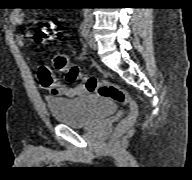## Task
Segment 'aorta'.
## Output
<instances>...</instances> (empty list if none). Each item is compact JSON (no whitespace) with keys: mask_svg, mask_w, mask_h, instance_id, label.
I'll return each mask as SVG.
<instances>
[{"mask_svg":"<svg viewBox=\"0 0 192 180\" xmlns=\"http://www.w3.org/2000/svg\"><path fill=\"white\" fill-rule=\"evenodd\" d=\"M85 13L89 16V9H86Z\"/></svg>","mask_w":192,"mask_h":180,"instance_id":"aorta-1","label":"aorta"}]
</instances>
